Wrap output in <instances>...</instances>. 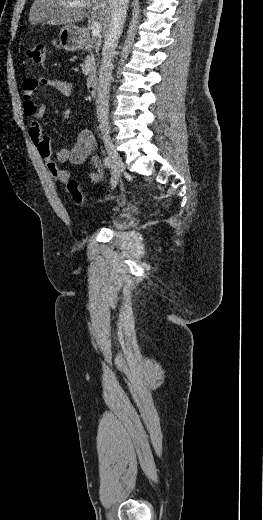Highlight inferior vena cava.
Listing matches in <instances>:
<instances>
[{"label":"inferior vena cava","instance_id":"inferior-vena-cava-1","mask_svg":"<svg viewBox=\"0 0 263 520\" xmlns=\"http://www.w3.org/2000/svg\"><path fill=\"white\" fill-rule=\"evenodd\" d=\"M129 0H112L111 21L105 34L97 85L96 111L102 133H109V91L112 78L113 56L121 36Z\"/></svg>","mask_w":263,"mask_h":520}]
</instances>
